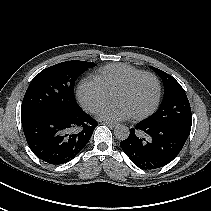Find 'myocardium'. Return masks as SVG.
Segmentation results:
<instances>
[{
  "label": "myocardium",
  "instance_id": "f54148a6",
  "mask_svg": "<svg viewBox=\"0 0 211 211\" xmlns=\"http://www.w3.org/2000/svg\"><path fill=\"white\" fill-rule=\"evenodd\" d=\"M145 77H150L154 80V82L156 84V90H157L156 98H155L153 105L148 110H146L142 113L132 115V117L137 120L147 118L148 116L152 115L157 110V108L160 104L161 94H162V87H161V82H160L159 78L153 73L144 72V73H141L139 75H136V76L130 78L125 83H123L122 85L117 87L112 93V96H114L117 93L124 92V91L128 90L130 87H132L137 81H139Z\"/></svg>",
  "mask_w": 211,
  "mask_h": 211
}]
</instances>
